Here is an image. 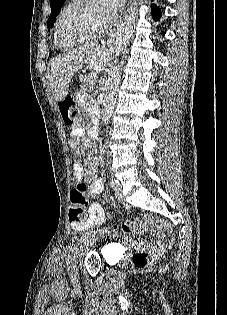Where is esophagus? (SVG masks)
<instances>
[{
  "label": "esophagus",
  "mask_w": 227,
  "mask_h": 315,
  "mask_svg": "<svg viewBox=\"0 0 227 315\" xmlns=\"http://www.w3.org/2000/svg\"><path fill=\"white\" fill-rule=\"evenodd\" d=\"M127 12H129V9ZM127 18H128V14L124 15V18L121 19L120 22L117 24V28L112 31V33L109 36V39L105 42V43H107V45H111L112 41L115 38H117L118 30L123 25V23L126 22Z\"/></svg>",
  "instance_id": "obj_1"
}]
</instances>
